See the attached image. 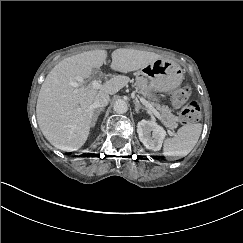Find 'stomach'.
Segmentation results:
<instances>
[{
  "mask_svg": "<svg viewBox=\"0 0 243 243\" xmlns=\"http://www.w3.org/2000/svg\"><path fill=\"white\" fill-rule=\"evenodd\" d=\"M183 80V70L176 63L157 59L137 72L136 87L145 97L157 101L154 93L177 88Z\"/></svg>",
  "mask_w": 243,
  "mask_h": 243,
  "instance_id": "0dacf381",
  "label": "stomach"
}]
</instances>
